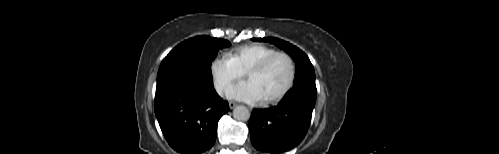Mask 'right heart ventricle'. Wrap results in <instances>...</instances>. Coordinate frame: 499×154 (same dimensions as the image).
I'll return each mask as SVG.
<instances>
[{
  "mask_svg": "<svg viewBox=\"0 0 499 154\" xmlns=\"http://www.w3.org/2000/svg\"><path fill=\"white\" fill-rule=\"evenodd\" d=\"M275 51L274 48L261 43H249L229 51L227 57L230 58L240 70L246 72L251 66Z\"/></svg>",
  "mask_w": 499,
  "mask_h": 154,
  "instance_id": "e07e8e85",
  "label": "right heart ventricle"
}]
</instances>
